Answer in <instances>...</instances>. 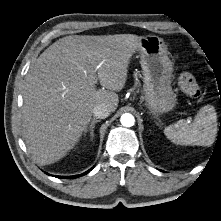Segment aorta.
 <instances>
[{
    "mask_svg": "<svg viewBox=\"0 0 221 221\" xmlns=\"http://www.w3.org/2000/svg\"><path fill=\"white\" fill-rule=\"evenodd\" d=\"M120 122L123 126L125 127H131L135 123V118L132 114L130 113H125L121 116Z\"/></svg>",
    "mask_w": 221,
    "mask_h": 221,
    "instance_id": "aorta-1",
    "label": "aorta"
}]
</instances>
